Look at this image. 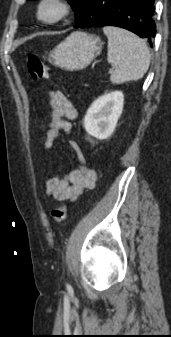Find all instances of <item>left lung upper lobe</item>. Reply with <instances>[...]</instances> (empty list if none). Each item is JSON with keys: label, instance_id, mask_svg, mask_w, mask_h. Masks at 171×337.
Masks as SVG:
<instances>
[{"label": "left lung upper lobe", "instance_id": "1", "mask_svg": "<svg viewBox=\"0 0 171 337\" xmlns=\"http://www.w3.org/2000/svg\"><path fill=\"white\" fill-rule=\"evenodd\" d=\"M88 0H68L75 11V21L80 17Z\"/></svg>", "mask_w": 171, "mask_h": 337}]
</instances>
